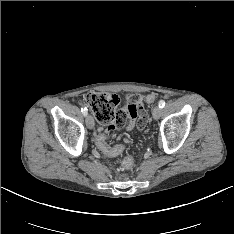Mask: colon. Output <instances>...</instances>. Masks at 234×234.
I'll return each instance as SVG.
<instances>
[{"label": "colon", "instance_id": "5ec220e1", "mask_svg": "<svg viewBox=\"0 0 234 234\" xmlns=\"http://www.w3.org/2000/svg\"><path fill=\"white\" fill-rule=\"evenodd\" d=\"M146 102H158L160 97L155 94H148L145 97ZM85 103H87L92 109L96 119L105 125V128L99 127L96 130L94 140L99 150L108 157L119 156L125 149L122 144L110 145L108 138L113 136L114 131L117 128L123 127L126 123L127 117L120 110L117 111L118 97L111 93H88L84 97ZM122 166L124 169H132L134 166V159L132 157H126L123 160Z\"/></svg>", "mask_w": 234, "mask_h": 234}]
</instances>
